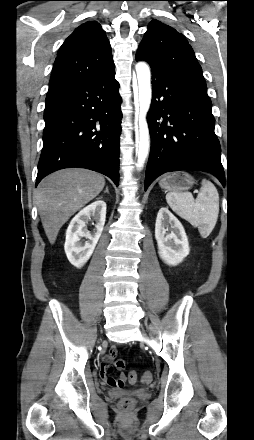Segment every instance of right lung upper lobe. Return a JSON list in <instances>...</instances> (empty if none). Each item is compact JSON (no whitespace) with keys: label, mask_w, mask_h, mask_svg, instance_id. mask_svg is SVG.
Instances as JSON below:
<instances>
[{"label":"right lung upper lobe","mask_w":254,"mask_h":440,"mask_svg":"<svg viewBox=\"0 0 254 440\" xmlns=\"http://www.w3.org/2000/svg\"><path fill=\"white\" fill-rule=\"evenodd\" d=\"M115 68L111 46L96 21L80 25L66 38L55 59L49 89Z\"/></svg>","instance_id":"cb5924a9"}]
</instances>
